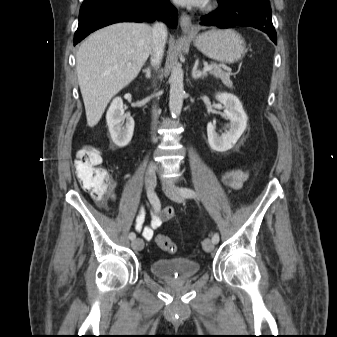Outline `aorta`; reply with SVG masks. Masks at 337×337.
<instances>
[{
    "label": "aorta",
    "instance_id": "obj_1",
    "mask_svg": "<svg viewBox=\"0 0 337 337\" xmlns=\"http://www.w3.org/2000/svg\"><path fill=\"white\" fill-rule=\"evenodd\" d=\"M183 70L179 63H176L170 75V96L169 109L171 115L176 118L180 115L183 99H184V84H183Z\"/></svg>",
    "mask_w": 337,
    "mask_h": 337
}]
</instances>
